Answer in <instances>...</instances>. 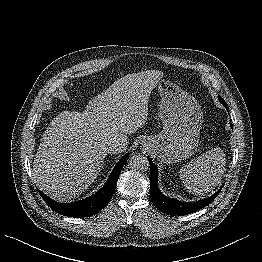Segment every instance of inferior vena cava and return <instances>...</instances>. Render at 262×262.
Listing matches in <instances>:
<instances>
[{
    "instance_id": "obj_1",
    "label": "inferior vena cava",
    "mask_w": 262,
    "mask_h": 262,
    "mask_svg": "<svg viewBox=\"0 0 262 262\" xmlns=\"http://www.w3.org/2000/svg\"><path fill=\"white\" fill-rule=\"evenodd\" d=\"M128 145L127 140H115L108 145V153L117 154L126 150Z\"/></svg>"
}]
</instances>
